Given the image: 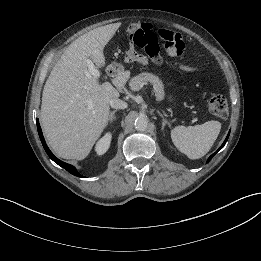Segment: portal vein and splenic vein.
Wrapping results in <instances>:
<instances>
[{
  "label": "portal vein and splenic vein",
  "instance_id": "1",
  "mask_svg": "<svg viewBox=\"0 0 261 261\" xmlns=\"http://www.w3.org/2000/svg\"><path fill=\"white\" fill-rule=\"evenodd\" d=\"M87 63V67L88 70L90 72V74L94 77V78H99L100 77V72L99 70L96 68V66L94 65L93 61L91 59H87L86 61Z\"/></svg>",
  "mask_w": 261,
  "mask_h": 261
}]
</instances>
